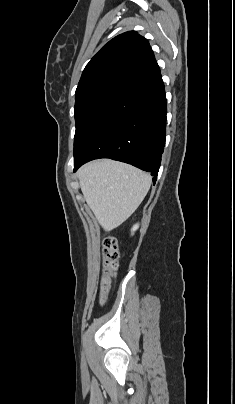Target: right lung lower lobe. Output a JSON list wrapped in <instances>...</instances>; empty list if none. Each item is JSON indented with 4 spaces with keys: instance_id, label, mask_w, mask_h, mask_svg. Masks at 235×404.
Here are the masks:
<instances>
[{
    "instance_id": "98d812e1",
    "label": "right lung lower lobe",
    "mask_w": 235,
    "mask_h": 404,
    "mask_svg": "<svg viewBox=\"0 0 235 404\" xmlns=\"http://www.w3.org/2000/svg\"><path fill=\"white\" fill-rule=\"evenodd\" d=\"M166 97L160 69L130 82L74 152V172L84 163L111 158L154 175L166 137Z\"/></svg>"
}]
</instances>
